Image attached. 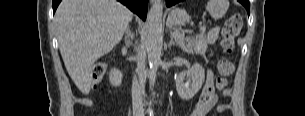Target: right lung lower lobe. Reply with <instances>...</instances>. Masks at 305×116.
<instances>
[{"label":"right lung lower lobe","instance_id":"obj_1","mask_svg":"<svg viewBox=\"0 0 305 116\" xmlns=\"http://www.w3.org/2000/svg\"><path fill=\"white\" fill-rule=\"evenodd\" d=\"M61 0H53V11L55 12ZM125 6H127L131 11L136 13L143 20L147 16L148 0H118Z\"/></svg>","mask_w":305,"mask_h":116}]
</instances>
